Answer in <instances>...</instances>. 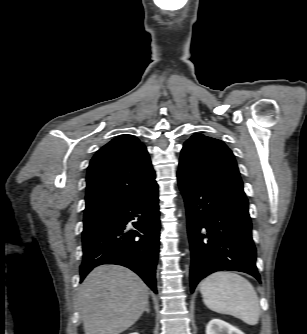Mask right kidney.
I'll list each match as a JSON object with an SVG mask.
<instances>
[{
    "label": "right kidney",
    "instance_id": "obj_1",
    "mask_svg": "<svg viewBox=\"0 0 307 334\" xmlns=\"http://www.w3.org/2000/svg\"><path fill=\"white\" fill-rule=\"evenodd\" d=\"M130 334H139V333H137V332H134V333H130Z\"/></svg>",
    "mask_w": 307,
    "mask_h": 334
}]
</instances>
